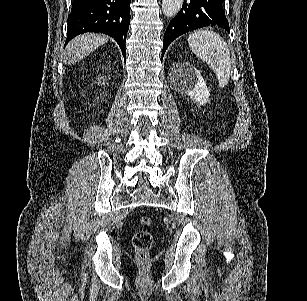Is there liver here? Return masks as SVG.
Returning a JSON list of instances; mask_svg holds the SVG:
<instances>
[{"instance_id": "obj_1", "label": "liver", "mask_w": 307, "mask_h": 301, "mask_svg": "<svg viewBox=\"0 0 307 301\" xmlns=\"http://www.w3.org/2000/svg\"><path fill=\"white\" fill-rule=\"evenodd\" d=\"M109 38L110 36H106V34H93V32H85V34L75 36V38L68 42L64 50L65 64L79 62V60L88 56L90 52L99 48L101 44L108 42Z\"/></svg>"}]
</instances>
